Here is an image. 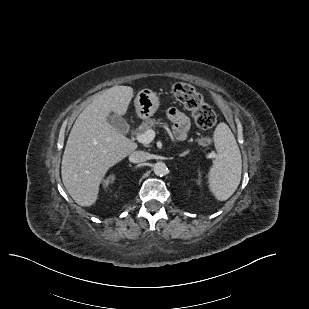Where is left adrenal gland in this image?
Returning <instances> with one entry per match:
<instances>
[{"label":"left adrenal gland","mask_w":309,"mask_h":309,"mask_svg":"<svg viewBox=\"0 0 309 309\" xmlns=\"http://www.w3.org/2000/svg\"><path fill=\"white\" fill-rule=\"evenodd\" d=\"M187 153H189V151H185V152H183L182 154H180L179 156H180V157L185 156Z\"/></svg>","instance_id":"1"}]
</instances>
